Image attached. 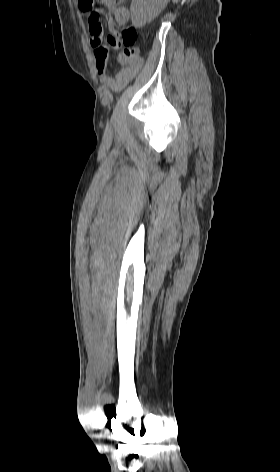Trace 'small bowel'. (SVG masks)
Returning <instances> with one entry per match:
<instances>
[{"label":"small bowel","mask_w":280,"mask_h":472,"mask_svg":"<svg viewBox=\"0 0 280 472\" xmlns=\"http://www.w3.org/2000/svg\"><path fill=\"white\" fill-rule=\"evenodd\" d=\"M82 1L79 0V7L82 12L89 10L83 7ZM109 8V13L105 16V24L109 30V34L104 36L103 26L99 20L96 24L89 22L90 44L94 49V57L98 72L102 75L101 81L105 88L112 92H120L132 81L143 66V60L139 56L127 57L120 52V31L129 21V10L121 3L123 0H99ZM101 13V10L98 9ZM118 51L117 61L119 69L113 77L103 74L109 55V50Z\"/></svg>","instance_id":"small-bowel-1"}]
</instances>
